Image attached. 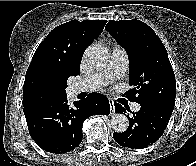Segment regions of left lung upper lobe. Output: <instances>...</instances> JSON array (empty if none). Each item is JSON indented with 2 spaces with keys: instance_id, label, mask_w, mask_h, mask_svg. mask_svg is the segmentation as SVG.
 Instances as JSON below:
<instances>
[{
  "instance_id": "5c2ea615",
  "label": "left lung upper lobe",
  "mask_w": 196,
  "mask_h": 166,
  "mask_svg": "<svg viewBox=\"0 0 196 166\" xmlns=\"http://www.w3.org/2000/svg\"><path fill=\"white\" fill-rule=\"evenodd\" d=\"M105 29L127 51L129 83L125 94L139 104H152L173 111L175 74L167 51L154 30L137 20H110Z\"/></svg>"
}]
</instances>
